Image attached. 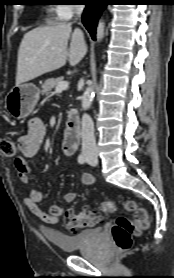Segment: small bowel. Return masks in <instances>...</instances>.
Wrapping results in <instances>:
<instances>
[{
    "instance_id": "obj_1",
    "label": "small bowel",
    "mask_w": 174,
    "mask_h": 278,
    "mask_svg": "<svg viewBox=\"0 0 174 278\" xmlns=\"http://www.w3.org/2000/svg\"><path fill=\"white\" fill-rule=\"evenodd\" d=\"M45 134L46 126L44 122L39 118H34L29 121L27 132L18 138V155L14 159V166L17 170V176L23 184L29 182L30 174V167L26 159L34 156L39 151ZM80 183L83 186H90L95 183V178L90 173L82 172L80 175ZM76 196L77 194L75 192H68L64 195V202L70 204L75 200ZM42 200V192L38 189H32L24 198V204L41 221L49 224L57 223L64 213V207L53 204L46 208H41L38 204Z\"/></svg>"
}]
</instances>
